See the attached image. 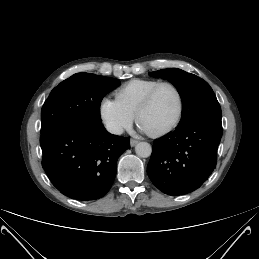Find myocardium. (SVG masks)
I'll use <instances>...</instances> for the list:
<instances>
[{
    "label": "myocardium",
    "mask_w": 259,
    "mask_h": 259,
    "mask_svg": "<svg viewBox=\"0 0 259 259\" xmlns=\"http://www.w3.org/2000/svg\"><path fill=\"white\" fill-rule=\"evenodd\" d=\"M162 87H169L171 88L177 96L178 99V112L175 117V119L165 128L155 131V132H149L147 133L152 136V137H161L164 136L170 132H172L181 122L183 115H184V108H185V103H184V97L177 85H175L172 82L169 81H162L156 84L152 89L149 90V92L145 95L144 99L142 100L137 113H136V121L137 124L141 126V118L143 114L146 112V110L150 107V105L153 102V99L155 97V94L157 91L162 88Z\"/></svg>",
    "instance_id": "f54148a6"
}]
</instances>
